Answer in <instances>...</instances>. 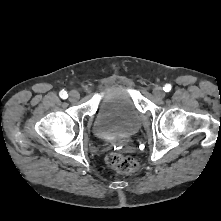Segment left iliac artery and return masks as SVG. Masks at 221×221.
Returning a JSON list of instances; mask_svg holds the SVG:
<instances>
[{
    "label": "left iliac artery",
    "instance_id": "44dca946",
    "mask_svg": "<svg viewBox=\"0 0 221 221\" xmlns=\"http://www.w3.org/2000/svg\"><path fill=\"white\" fill-rule=\"evenodd\" d=\"M171 90V85L170 84H167L165 87H164V91L165 92H168Z\"/></svg>",
    "mask_w": 221,
    "mask_h": 221
}]
</instances>
